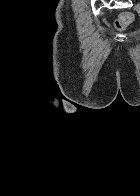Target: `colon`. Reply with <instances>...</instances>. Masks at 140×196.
Segmentation results:
<instances>
[{"mask_svg": "<svg viewBox=\"0 0 140 196\" xmlns=\"http://www.w3.org/2000/svg\"><path fill=\"white\" fill-rule=\"evenodd\" d=\"M133 21V15L129 12H123L115 21V26L118 29H124Z\"/></svg>", "mask_w": 140, "mask_h": 196, "instance_id": "colon-1", "label": "colon"}]
</instances>
